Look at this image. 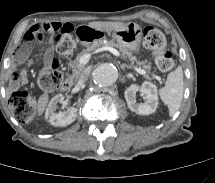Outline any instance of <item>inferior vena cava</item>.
Masks as SVG:
<instances>
[{
    "label": "inferior vena cava",
    "instance_id": "602c4592",
    "mask_svg": "<svg viewBox=\"0 0 215 183\" xmlns=\"http://www.w3.org/2000/svg\"><path fill=\"white\" fill-rule=\"evenodd\" d=\"M88 77H89V72L86 71V70H84V71L81 72L80 75H79V82H80V83L85 82V81L88 79Z\"/></svg>",
    "mask_w": 215,
    "mask_h": 183
}]
</instances>
